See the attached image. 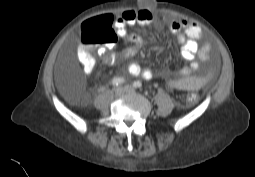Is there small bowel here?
Returning a JSON list of instances; mask_svg holds the SVG:
<instances>
[{
	"mask_svg": "<svg viewBox=\"0 0 255 177\" xmlns=\"http://www.w3.org/2000/svg\"><path fill=\"white\" fill-rule=\"evenodd\" d=\"M105 16L108 18L110 25H113L115 33L121 38H126L131 43L129 47L116 53L103 50L104 61L107 64H112L118 59L131 58L139 52L142 46V39L136 34L129 33L128 27L133 25L147 26L156 21H160L166 23L170 31L176 35L181 56L184 60L189 62L188 66L178 71L176 77L168 78V87L172 90H199L209 81L210 74L202 76L194 74L199 65L198 60L207 61L211 51V44L209 42L204 43L202 46L199 45L198 39H200L202 35V30L197 24L184 19H173L157 15L150 9H141L138 11L126 10L116 19L110 14ZM81 62L86 72L92 69L93 63L88 65L85 61ZM127 70L129 74L133 76H141L145 79L152 77V72L150 70L143 69L136 62L129 63ZM165 76H167V74H165Z\"/></svg>",
	"mask_w": 255,
	"mask_h": 177,
	"instance_id": "small-bowel-1",
	"label": "small bowel"
}]
</instances>
